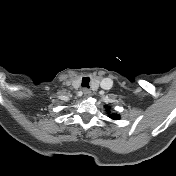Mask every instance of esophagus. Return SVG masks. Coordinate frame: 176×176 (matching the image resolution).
<instances>
[{
  "label": "esophagus",
  "instance_id": "34e87169",
  "mask_svg": "<svg viewBox=\"0 0 176 176\" xmlns=\"http://www.w3.org/2000/svg\"><path fill=\"white\" fill-rule=\"evenodd\" d=\"M83 94L85 97H90L91 96V91L87 88L83 89Z\"/></svg>",
  "mask_w": 176,
  "mask_h": 176
}]
</instances>
